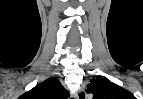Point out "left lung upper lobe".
I'll return each mask as SVG.
<instances>
[{
    "mask_svg": "<svg viewBox=\"0 0 143 99\" xmlns=\"http://www.w3.org/2000/svg\"><path fill=\"white\" fill-rule=\"evenodd\" d=\"M87 93L92 99H136L133 94L106 78H93L87 85Z\"/></svg>",
    "mask_w": 143,
    "mask_h": 99,
    "instance_id": "left-lung-upper-lobe-1",
    "label": "left lung upper lobe"
}]
</instances>
